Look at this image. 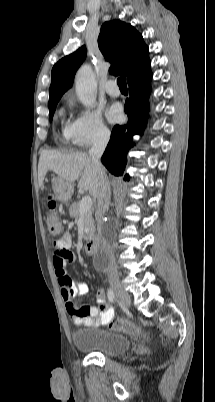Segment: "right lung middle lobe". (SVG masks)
<instances>
[{
  "mask_svg": "<svg viewBox=\"0 0 215 402\" xmlns=\"http://www.w3.org/2000/svg\"><path fill=\"white\" fill-rule=\"evenodd\" d=\"M59 100H60V98H56V99H53V100L49 101L50 121L53 118V115H54V112H55V109H56V106H57V103H58Z\"/></svg>",
  "mask_w": 215,
  "mask_h": 402,
  "instance_id": "obj_1",
  "label": "right lung middle lobe"
}]
</instances>
